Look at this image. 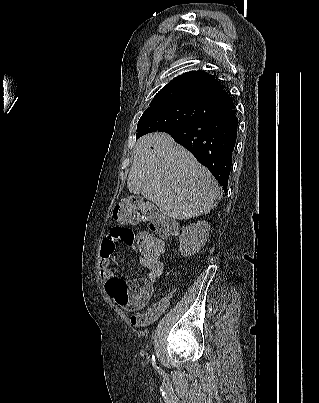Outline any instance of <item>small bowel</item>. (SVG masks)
<instances>
[{"instance_id":"small-bowel-1","label":"small bowel","mask_w":319,"mask_h":403,"mask_svg":"<svg viewBox=\"0 0 319 403\" xmlns=\"http://www.w3.org/2000/svg\"><path fill=\"white\" fill-rule=\"evenodd\" d=\"M134 237L135 230L131 229L130 224H111L110 229H104V236L99 237L98 267L101 279L106 281L107 294L112 297L113 305L122 309V315H128L133 329H142L167 309L168 300H160L146 309L149 300H152V284L162 271L159 258H142L144 268L148 269V279L117 278L110 268L118 249L134 246ZM141 309L145 310L141 313Z\"/></svg>"}]
</instances>
